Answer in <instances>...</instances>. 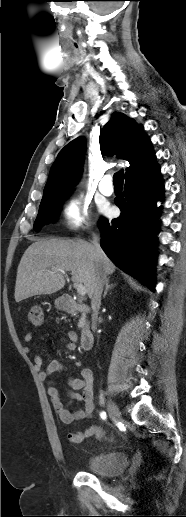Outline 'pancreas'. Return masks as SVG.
I'll return each instance as SVG.
<instances>
[{
    "instance_id": "1",
    "label": "pancreas",
    "mask_w": 186,
    "mask_h": 517,
    "mask_svg": "<svg viewBox=\"0 0 186 517\" xmlns=\"http://www.w3.org/2000/svg\"><path fill=\"white\" fill-rule=\"evenodd\" d=\"M88 323H89L88 321H85V323H83V319H81V320L79 321L78 327L80 328V327H82L84 324H85V325H88Z\"/></svg>"
}]
</instances>
